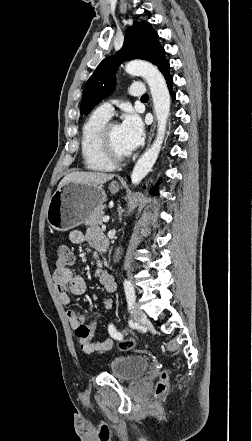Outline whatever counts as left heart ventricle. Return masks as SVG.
<instances>
[{"label":"left heart ventricle","mask_w":252,"mask_h":441,"mask_svg":"<svg viewBox=\"0 0 252 441\" xmlns=\"http://www.w3.org/2000/svg\"><path fill=\"white\" fill-rule=\"evenodd\" d=\"M110 144L118 155H127L122 145L120 126L114 125L110 130Z\"/></svg>","instance_id":"obj_1"}]
</instances>
